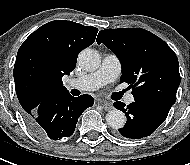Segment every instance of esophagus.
<instances>
[{
	"label": "esophagus",
	"instance_id": "esophagus-1",
	"mask_svg": "<svg viewBox=\"0 0 190 165\" xmlns=\"http://www.w3.org/2000/svg\"><path fill=\"white\" fill-rule=\"evenodd\" d=\"M99 103L103 106V108H104L106 111L112 110V108H113L112 104L109 103V102L99 100Z\"/></svg>",
	"mask_w": 190,
	"mask_h": 165
}]
</instances>
